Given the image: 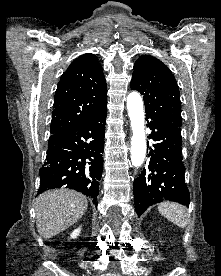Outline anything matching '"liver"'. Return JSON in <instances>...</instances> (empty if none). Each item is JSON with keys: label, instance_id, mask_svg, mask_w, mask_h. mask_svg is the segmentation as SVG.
Listing matches in <instances>:
<instances>
[{"label": "liver", "instance_id": "obj_1", "mask_svg": "<svg viewBox=\"0 0 221 276\" xmlns=\"http://www.w3.org/2000/svg\"><path fill=\"white\" fill-rule=\"evenodd\" d=\"M88 207L87 198L70 189H55L36 200V226L45 239L51 238L76 223Z\"/></svg>", "mask_w": 221, "mask_h": 276}]
</instances>
